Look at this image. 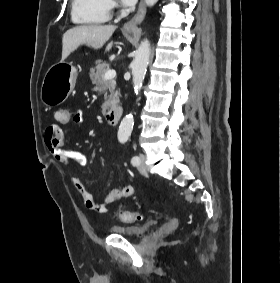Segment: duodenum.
<instances>
[{
    "instance_id": "duodenum-1",
    "label": "duodenum",
    "mask_w": 280,
    "mask_h": 283,
    "mask_svg": "<svg viewBox=\"0 0 280 283\" xmlns=\"http://www.w3.org/2000/svg\"><path fill=\"white\" fill-rule=\"evenodd\" d=\"M122 115V107L117 106L106 112V121L110 125L118 124Z\"/></svg>"
}]
</instances>
